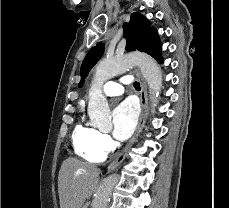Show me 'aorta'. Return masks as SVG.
I'll use <instances>...</instances> for the list:
<instances>
[{
	"instance_id": "obj_1",
	"label": "aorta",
	"mask_w": 229,
	"mask_h": 208,
	"mask_svg": "<svg viewBox=\"0 0 229 208\" xmlns=\"http://www.w3.org/2000/svg\"><path fill=\"white\" fill-rule=\"evenodd\" d=\"M134 65L139 66L142 76L148 84L150 99L153 106L158 101L162 87V72L158 63L145 54L133 53L119 58H110L100 61L95 70V75L89 90L88 114L91 124L100 130L111 126L110 109L102 87L110 78L125 72ZM118 181L116 175L104 179L99 186L92 208H107L112 191Z\"/></svg>"
}]
</instances>
